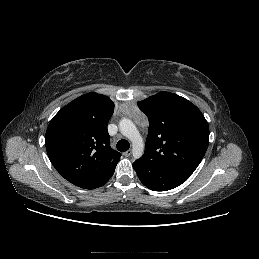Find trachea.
Instances as JSON below:
<instances>
[{"label": "trachea", "instance_id": "1", "mask_svg": "<svg viewBox=\"0 0 259 259\" xmlns=\"http://www.w3.org/2000/svg\"><path fill=\"white\" fill-rule=\"evenodd\" d=\"M117 149L121 152H125L130 148V144L127 140L121 139L116 145Z\"/></svg>", "mask_w": 259, "mask_h": 259}]
</instances>
